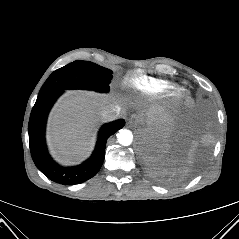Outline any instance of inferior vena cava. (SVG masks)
Wrapping results in <instances>:
<instances>
[{
    "label": "inferior vena cava",
    "mask_w": 239,
    "mask_h": 239,
    "mask_svg": "<svg viewBox=\"0 0 239 239\" xmlns=\"http://www.w3.org/2000/svg\"><path fill=\"white\" fill-rule=\"evenodd\" d=\"M121 109L119 106L107 108L101 112V116L106 121H112L120 116Z\"/></svg>",
    "instance_id": "602c4592"
}]
</instances>
